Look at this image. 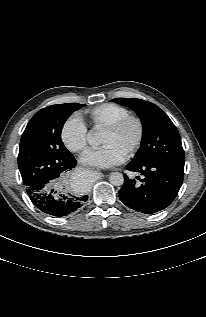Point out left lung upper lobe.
Segmentation results:
<instances>
[{
  "mask_svg": "<svg viewBox=\"0 0 206 317\" xmlns=\"http://www.w3.org/2000/svg\"><path fill=\"white\" fill-rule=\"evenodd\" d=\"M111 101L131 108L143 125L141 145L130 164L159 162L184 168L181 138L166 113L157 105L141 99L115 98Z\"/></svg>",
  "mask_w": 206,
  "mask_h": 317,
  "instance_id": "obj_1",
  "label": "left lung upper lobe"
}]
</instances>
